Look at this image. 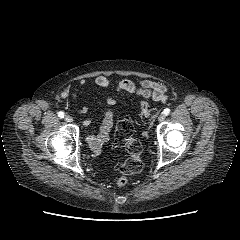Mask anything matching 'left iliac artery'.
<instances>
[{
  "instance_id": "obj_1",
  "label": "left iliac artery",
  "mask_w": 240,
  "mask_h": 240,
  "mask_svg": "<svg viewBox=\"0 0 240 240\" xmlns=\"http://www.w3.org/2000/svg\"><path fill=\"white\" fill-rule=\"evenodd\" d=\"M163 113H164L165 115H168V114L170 113V109H169V108H165L164 111H163Z\"/></svg>"
}]
</instances>
